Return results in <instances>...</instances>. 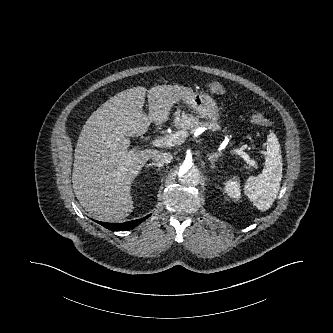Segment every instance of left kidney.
Returning <instances> with one entry per match:
<instances>
[{
    "label": "left kidney",
    "instance_id": "5707ae66",
    "mask_svg": "<svg viewBox=\"0 0 333 333\" xmlns=\"http://www.w3.org/2000/svg\"><path fill=\"white\" fill-rule=\"evenodd\" d=\"M225 193H227L229 197L237 201L240 200L241 198L240 184L237 181L236 177L228 180L225 183Z\"/></svg>",
    "mask_w": 333,
    "mask_h": 333
}]
</instances>
